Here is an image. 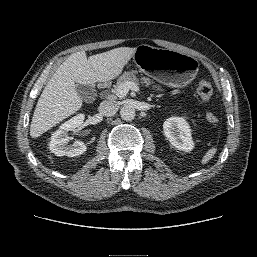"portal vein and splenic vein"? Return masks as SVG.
<instances>
[{"label": "portal vein and splenic vein", "instance_id": "1", "mask_svg": "<svg viewBox=\"0 0 257 257\" xmlns=\"http://www.w3.org/2000/svg\"><path fill=\"white\" fill-rule=\"evenodd\" d=\"M129 90L137 92L139 91V87L133 82H126L116 89V95L122 98L127 95Z\"/></svg>", "mask_w": 257, "mask_h": 257}]
</instances>
